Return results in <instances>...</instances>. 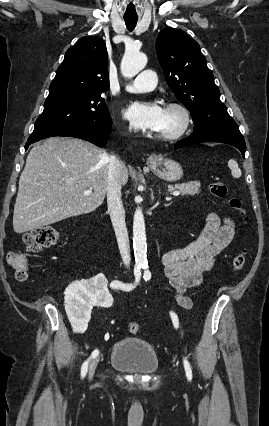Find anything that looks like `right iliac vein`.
<instances>
[{"label":"right iliac vein","mask_w":269,"mask_h":426,"mask_svg":"<svg viewBox=\"0 0 269 426\" xmlns=\"http://www.w3.org/2000/svg\"><path fill=\"white\" fill-rule=\"evenodd\" d=\"M98 361H99V356L95 357L92 360V362L90 363V366H89V380H91L93 378V376H94L95 369H96V366L98 364Z\"/></svg>","instance_id":"1"}]
</instances>
